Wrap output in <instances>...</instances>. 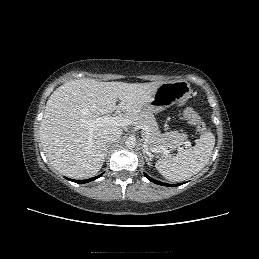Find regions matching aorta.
I'll return each instance as SVG.
<instances>
[{
    "label": "aorta",
    "mask_w": 259,
    "mask_h": 259,
    "mask_svg": "<svg viewBox=\"0 0 259 259\" xmlns=\"http://www.w3.org/2000/svg\"><path fill=\"white\" fill-rule=\"evenodd\" d=\"M125 145H126L128 148H133V147H135V145H136V140H135V138H133V137L127 138L126 141H125Z\"/></svg>",
    "instance_id": "1"
}]
</instances>
